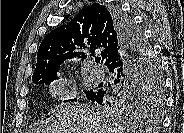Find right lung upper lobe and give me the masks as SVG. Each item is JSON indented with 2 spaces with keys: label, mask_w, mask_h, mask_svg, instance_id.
<instances>
[{
  "label": "right lung upper lobe",
  "mask_w": 184,
  "mask_h": 133,
  "mask_svg": "<svg viewBox=\"0 0 184 133\" xmlns=\"http://www.w3.org/2000/svg\"><path fill=\"white\" fill-rule=\"evenodd\" d=\"M121 39L112 10L95 3L84 7L66 25L48 33L37 52L36 69L32 81L56 76L60 65L74 56L86 57L83 50L101 52L107 65L120 51Z\"/></svg>",
  "instance_id": "1"
}]
</instances>
